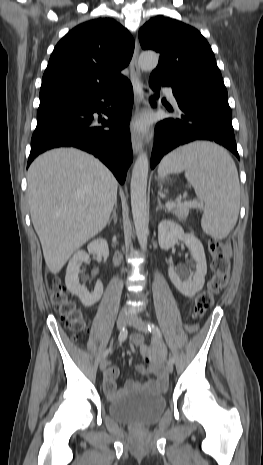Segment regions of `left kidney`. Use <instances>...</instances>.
Masks as SVG:
<instances>
[{
  "mask_svg": "<svg viewBox=\"0 0 263 465\" xmlns=\"http://www.w3.org/2000/svg\"><path fill=\"white\" fill-rule=\"evenodd\" d=\"M178 240H182L189 248L196 262V272L191 280H183L177 269L170 264L168 274L175 287L186 297L199 292L205 283L207 264L201 241L193 234H185L183 228L171 220H162L158 226V242L162 249L169 250Z\"/></svg>",
  "mask_w": 263,
  "mask_h": 465,
  "instance_id": "left-kidney-1",
  "label": "left kidney"
}]
</instances>
